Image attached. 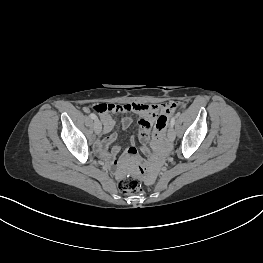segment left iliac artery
<instances>
[{"mask_svg":"<svg viewBox=\"0 0 263 263\" xmlns=\"http://www.w3.org/2000/svg\"><path fill=\"white\" fill-rule=\"evenodd\" d=\"M175 125V117H172L170 121V126L173 127Z\"/></svg>","mask_w":263,"mask_h":263,"instance_id":"obj_1","label":"left iliac artery"}]
</instances>
